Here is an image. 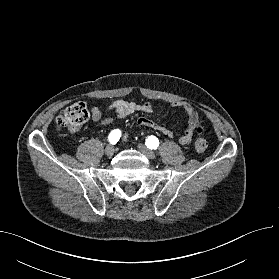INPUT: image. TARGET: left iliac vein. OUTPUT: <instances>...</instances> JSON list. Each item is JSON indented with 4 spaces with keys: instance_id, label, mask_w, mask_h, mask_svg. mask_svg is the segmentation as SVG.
<instances>
[{
    "instance_id": "obj_1",
    "label": "left iliac vein",
    "mask_w": 279,
    "mask_h": 279,
    "mask_svg": "<svg viewBox=\"0 0 279 279\" xmlns=\"http://www.w3.org/2000/svg\"><path fill=\"white\" fill-rule=\"evenodd\" d=\"M138 149L149 159H154L156 154L143 144H138Z\"/></svg>"
}]
</instances>
